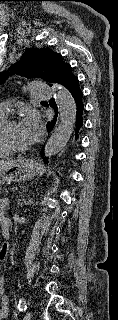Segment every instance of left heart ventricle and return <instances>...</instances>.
I'll use <instances>...</instances> for the list:
<instances>
[{"label": "left heart ventricle", "instance_id": "left-heart-ventricle-1", "mask_svg": "<svg viewBox=\"0 0 118 320\" xmlns=\"http://www.w3.org/2000/svg\"><path fill=\"white\" fill-rule=\"evenodd\" d=\"M6 137L10 143L18 147H26L28 143L19 123L10 125L6 130Z\"/></svg>", "mask_w": 118, "mask_h": 320}]
</instances>
